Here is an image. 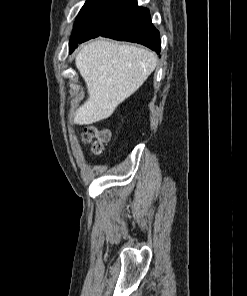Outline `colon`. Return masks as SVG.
<instances>
[{
  "label": "colon",
  "instance_id": "obj_1",
  "mask_svg": "<svg viewBox=\"0 0 247 296\" xmlns=\"http://www.w3.org/2000/svg\"><path fill=\"white\" fill-rule=\"evenodd\" d=\"M109 138L108 131L99 130L93 126H87L82 135L83 141L91 146V151L96 155L103 152Z\"/></svg>",
  "mask_w": 247,
  "mask_h": 296
}]
</instances>
